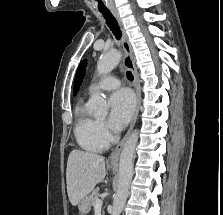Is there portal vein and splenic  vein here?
<instances>
[{
    "label": "portal vein and splenic vein",
    "mask_w": 223,
    "mask_h": 215,
    "mask_svg": "<svg viewBox=\"0 0 223 215\" xmlns=\"http://www.w3.org/2000/svg\"><path fill=\"white\" fill-rule=\"evenodd\" d=\"M103 201L102 199H99V197H96V203H94L95 209H98V207H102Z\"/></svg>",
    "instance_id": "18ae733b"
}]
</instances>
